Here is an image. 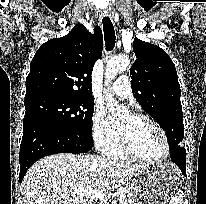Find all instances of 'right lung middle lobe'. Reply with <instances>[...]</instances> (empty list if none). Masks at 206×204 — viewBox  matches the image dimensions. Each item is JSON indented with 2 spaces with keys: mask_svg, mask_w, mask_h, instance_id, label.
<instances>
[{
  "mask_svg": "<svg viewBox=\"0 0 206 204\" xmlns=\"http://www.w3.org/2000/svg\"><path fill=\"white\" fill-rule=\"evenodd\" d=\"M23 126L32 121L57 126L92 141L93 99L42 94L26 98Z\"/></svg>",
  "mask_w": 206,
  "mask_h": 204,
  "instance_id": "1",
  "label": "right lung middle lobe"
}]
</instances>
